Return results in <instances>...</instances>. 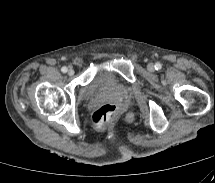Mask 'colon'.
Instances as JSON below:
<instances>
[{
  "instance_id": "obj_1",
  "label": "colon",
  "mask_w": 215,
  "mask_h": 183,
  "mask_svg": "<svg viewBox=\"0 0 215 183\" xmlns=\"http://www.w3.org/2000/svg\"><path fill=\"white\" fill-rule=\"evenodd\" d=\"M118 114V108L114 104H106L96 110L92 116V121L97 126H102L112 120Z\"/></svg>"
}]
</instances>
